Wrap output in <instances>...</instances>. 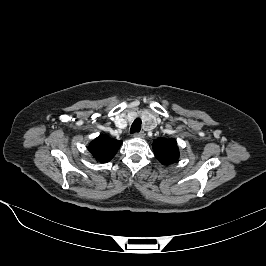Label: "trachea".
Returning <instances> with one entry per match:
<instances>
[{
    "label": "trachea",
    "instance_id": "trachea-1",
    "mask_svg": "<svg viewBox=\"0 0 266 266\" xmlns=\"http://www.w3.org/2000/svg\"><path fill=\"white\" fill-rule=\"evenodd\" d=\"M141 130V119L137 118L134 120V122L132 123L130 132L131 133H138Z\"/></svg>",
    "mask_w": 266,
    "mask_h": 266
}]
</instances>
